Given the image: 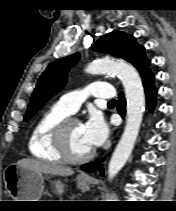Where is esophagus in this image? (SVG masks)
I'll use <instances>...</instances> for the list:
<instances>
[{
    "mask_svg": "<svg viewBox=\"0 0 176 211\" xmlns=\"http://www.w3.org/2000/svg\"><path fill=\"white\" fill-rule=\"evenodd\" d=\"M82 177H83V178H86V179L88 178L86 175H82Z\"/></svg>",
    "mask_w": 176,
    "mask_h": 211,
    "instance_id": "34e87169",
    "label": "esophagus"
}]
</instances>
